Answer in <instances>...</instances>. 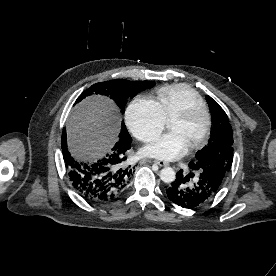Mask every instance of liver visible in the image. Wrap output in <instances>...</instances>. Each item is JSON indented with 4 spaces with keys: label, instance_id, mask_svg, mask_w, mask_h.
<instances>
[{
    "label": "liver",
    "instance_id": "obj_1",
    "mask_svg": "<svg viewBox=\"0 0 276 276\" xmlns=\"http://www.w3.org/2000/svg\"><path fill=\"white\" fill-rule=\"evenodd\" d=\"M66 130L72 155L81 160H96L118 140V109L109 98L91 96L72 109Z\"/></svg>",
    "mask_w": 276,
    "mask_h": 276
}]
</instances>
